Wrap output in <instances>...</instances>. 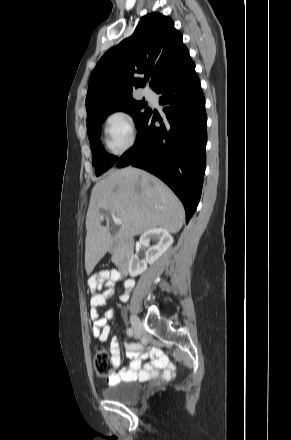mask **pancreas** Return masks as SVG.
I'll list each match as a JSON object with an SVG mask.
<instances>
[{
    "label": "pancreas",
    "mask_w": 291,
    "mask_h": 440,
    "mask_svg": "<svg viewBox=\"0 0 291 440\" xmlns=\"http://www.w3.org/2000/svg\"><path fill=\"white\" fill-rule=\"evenodd\" d=\"M112 251L114 252V255L112 256V261L114 262V263H117L118 262V257H117V255H116V248H112Z\"/></svg>",
    "instance_id": "pancreas-1"
}]
</instances>
